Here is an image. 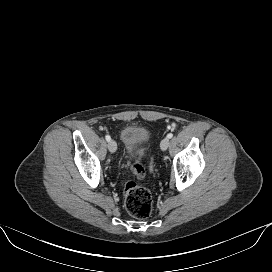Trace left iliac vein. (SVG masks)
<instances>
[{"label": "left iliac vein", "instance_id": "left-iliac-vein-1", "mask_svg": "<svg viewBox=\"0 0 272 272\" xmlns=\"http://www.w3.org/2000/svg\"><path fill=\"white\" fill-rule=\"evenodd\" d=\"M160 147L163 151H165L169 147V139L164 138L160 143Z\"/></svg>", "mask_w": 272, "mask_h": 272}]
</instances>
